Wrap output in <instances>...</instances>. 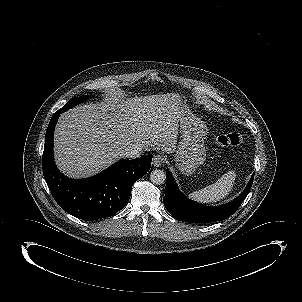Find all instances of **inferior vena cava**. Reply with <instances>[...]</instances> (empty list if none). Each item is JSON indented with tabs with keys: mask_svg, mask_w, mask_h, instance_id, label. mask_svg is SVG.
Instances as JSON below:
<instances>
[{
	"mask_svg": "<svg viewBox=\"0 0 302 302\" xmlns=\"http://www.w3.org/2000/svg\"><path fill=\"white\" fill-rule=\"evenodd\" d=\"M144 149L138 146H134L131 148H125L121 151L120 155L123 158L135 159L142 155Z\"/></svg>",
	"mask_w": 302,
	"mask_h": 302,
	"instance_id": "1",
	"label": "inferior vena cava"
}]
</instances>
